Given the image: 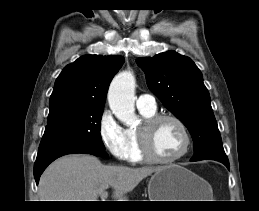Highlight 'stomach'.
Here are the masks:
<instances>
[{
    "instance_id": "stomach-1",
    "label": "stomach",
    "mask_w": 259,
    "mask_h": 211,
    "mask_svg": "<svg viewBox=\"0 0 259 211\" xmlns=\"http://www.w3.org/2000/svg\"><path fill=\"white\" fill-rule=\"evenodd\" d=\"M149 201H207L210 186L190 170L175 164L163 166L148 184Z\"/></svg>"
}]
</instances>
